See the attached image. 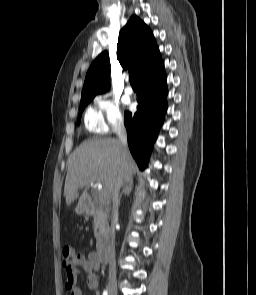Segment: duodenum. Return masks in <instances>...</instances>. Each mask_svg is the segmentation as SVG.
<instances>
[{
	"label": "duodenum",
	"mask_w": 256,
	"mask_h": 295,
	"mask_svg": "<svg viewBox=\"0 0 256 295\" xmlns=\"http://www.w3.org/2000/svg\"><path fill=\"white\" fill-rule=\"evenodd\" d=\"M80 205L86 214H90L92 212V205L87 199L82 200ZM96 255L100 263H107L109 261L110 248H109V245L106 243V241L104 240L100 241L96 251Z\"/></svg>",
	"instance_id": "1"
}]
</instances>
